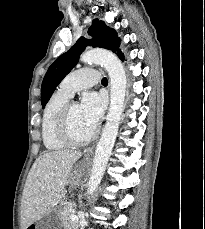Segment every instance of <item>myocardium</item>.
Segmentation results:
<instances>
[{
	"mask_svg": "<svg viewBox=\"0 0 205 229\" xmlns=\"http://www.w3.org/2000/svg\"><path fill=\"white\" fill-rule=\"evenodd\" d=\"M78 104L76 101H67L60 110L58 120H57V127L56 132L61 141L66 143L68 146H83L91 142L98 133L97 126H94L91 133L83 138L78 139L75 138L70 129V111L71 108Z\"/></svg>",
	"mask_w": 205,
	"mask_h": 229,
	"instance_id": "myocardium-1",
	"label": "myocardium"
}]
</instances>
